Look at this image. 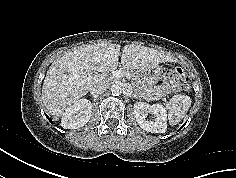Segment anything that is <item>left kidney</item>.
<instances>
[{
  "mask_svg": "<svg viewBox=\"0 0 236 178\" xmlns=\"http://www.w3.org/2000/svg\"><path fill=\"white\" fill-rule=\"evenodd\" d=\"M151 113L155 116V121L146 120V114ZM134 115L138 125L147 132L165 133L167 130L166 109L161 104L150 105L146 102L134 104Z\"/></svg>",
  "mask_w": 236,
  "mask_h": 178,
  "instance_id": "5707ae66",
  "label": "left kidney"
}]
</instances>
